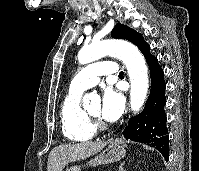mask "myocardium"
Segmentation results:
<instances>
[{
	"label": "myocardium",
	"mask_w": 199,
	"mask_h": 171,
	"mask_svg": "<svg viewBox=\"0 0 199 171\" xmlns=\"http://www.w3.org/2000/svg\"><path fill=\"white\" fill-rule=\"evenodd\" d=\"M87 114H88L94 128H97V129H104L105 128V125L100 120L99 116H96V115H94L90 112H87Z\"/></svg>",
	"instance_id": "1"
}]
</instances>
